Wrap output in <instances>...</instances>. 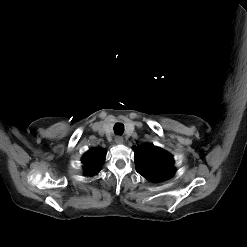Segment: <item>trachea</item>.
<instances>
[{"instance_id":"obj_1","label":"trachea","mask_w":247,"mask_h":247,"mask_svg":"<svg viewBox=\"0 0 247 247\" xmlns=\"http://www.w3.org/2000/svg\"><path fill=\"white\" fill-rule=\"evenodd\" d=\"M114 132L116 134H119V135L123 134V132H124V125L122 123H116L114 125Z\"/></svg>"}]
</instances>
